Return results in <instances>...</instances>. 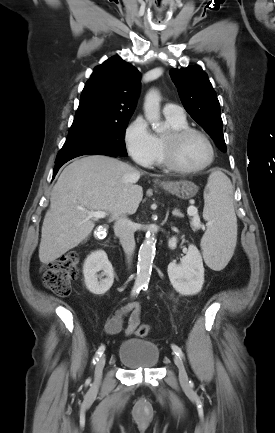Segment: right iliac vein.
Returning <instances> with one entry per match:
<instances>
[{
    "instance_id": "obj_1",
    "label": "right iliac vein",
    "mask_w": 275,
    "mask_h": 433,
    "mask_svg": "<svg viewBox=\"0 0 275 433\" xmlns=\"http://www.w3.org/2000/svg\"><path fill=\"white\" fill-rule=\"evenodd\" d=\"M105 356L99 358L94 371V383L95 385H99L102 379V373L105 366Z\"/></svg>"
}]
</instances>
